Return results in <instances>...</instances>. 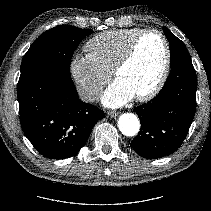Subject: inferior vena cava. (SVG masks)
Here are the masks:
<instances>
[{"mask_svg":"<svg viewBox=\"0 0 211 211\" xmlns=\"http://www.w3.org/2000/svg\"><path fill=\"white\" fill-rule=\"evenodd\" d=\"M101 91L99 89H82L79 91L80 99L84 102H93L100 96Z\"/></svg>","mask_w":211,"mask_h":211,"instance_id":"inferior-vena-cava-1","label":"inferior vena cava"}]
</instances>
